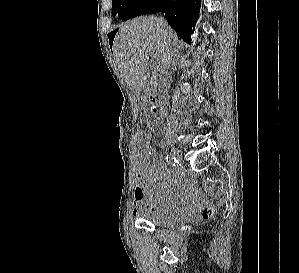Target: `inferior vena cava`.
I'll return each instance as SVG.
<instances>
[{"label": "inferior vena cava", "mask_w": 299, "mask_h": 273, "mask_svg": "<svg viewBox=\"0 0 299 273\" xmlns=\"http://www.w3.org/2000/svg\"><path fill=\"white\" fill-rule=\"evenodd\" d=\"M161 22H164V18L160 17ZM165 23V22H164ZM166 24V23H165ZM166 68H168V66H164L162 67V72L165 73L166 72ZM165 81V80H164Z\"/></svg>", "instance_id": "inferior-vena-cava-1"}]
</instances>
